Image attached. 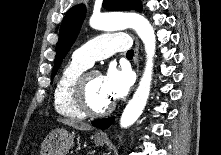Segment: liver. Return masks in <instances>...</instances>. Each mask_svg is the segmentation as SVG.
Wrapping results in <instances>:
<instances>
[{"label": "liver", "mask_w": 221, "mask_h": 155, "mask_svg": "<svg viewBox=\"0 0 221 155\" xmlns=\"http://www.w3.org/2000/svg\"><path fill=\"white\" fill-rule=\"evenodd\" d=\"M57 121L65 124V125L71 126V127L78 129V130H92L93 129V127L91 125L86 124L84 122L76 121V120H70L67 118H59V119H57Z\"/></svg>", "instance_id": "obj_1"}]
</instances>
